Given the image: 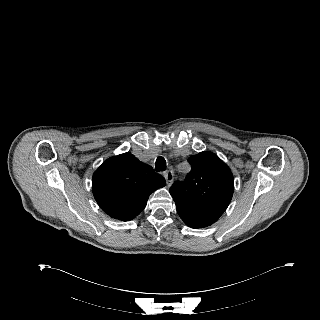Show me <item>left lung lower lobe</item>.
Listing matches in <instances>:
<instances>
[{
	"label": "left lung lower lobe",
	"mask_w": 320,
	"mask_h": 320,
	"mask_svg": "<svg viewBox=\"0 0 320 320\" xmlns=\"http://www.w3.org/2000/svg\"><path fill=\"white\" fill-rule=\"evenodd\" d=\"M175 204L179 216L191 228L210 226L220 217L219 215L209 214L180 202H175Z\"/></svg>",
	"instance_id": "obj_1"
}]
</instances>
